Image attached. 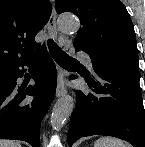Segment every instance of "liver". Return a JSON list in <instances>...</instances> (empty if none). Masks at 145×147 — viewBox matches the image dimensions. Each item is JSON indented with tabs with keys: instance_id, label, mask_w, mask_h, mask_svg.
Segmentation results:
<instances>
[{
	"instance_id": "liver-1",
	"label": "liver",
	"mask_w": 145,
	"mask_h": 147,
	"mask_svg": "<svg viewBox=\"0 0 145 147\" xmlns=\"http://www.w3.org/2000/svg\"><path fill=\"white\" fill-rule=\"evenodd\" d=\"M0 147H21V145L12 140H0Z\"/></svg>"
}]
</instances>
